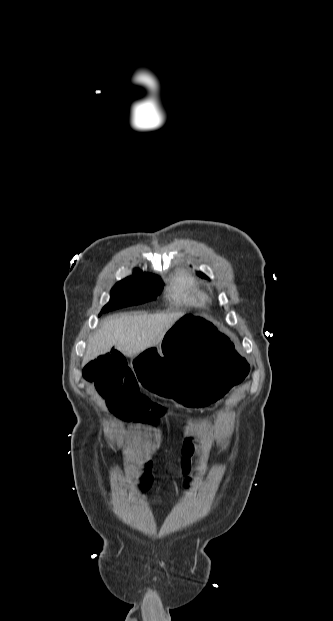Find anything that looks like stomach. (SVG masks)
Wrapping results in <instances>:
<instances>
[{"instance_id":"obj_1","label":"stomach","mask_w":333,"mask_h":621,"mask_svg":"<svg viewBox=\"0 0 333 621\" xmlns=\"http://www.w3.org/2000/svg\"><path fill=\"white\" fill-rule=\"evenodd\" d=\"M205 314L179 318L159 344L150 341L132 368L148 396L177 401L180 409L214 411L250 372L246 352Z\"/></svg>"}]
</instances>
